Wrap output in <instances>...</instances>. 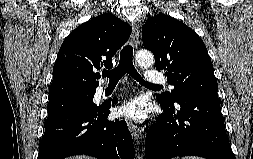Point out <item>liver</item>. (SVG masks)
I'll use <instances>...</instances> for the list:
<instances>
[{
    "mask_svg": "<svg viewBox=\"0 0 253 159\" xmlns=\"http://www.w3.org/2000/svg\"><path fill=\"white\" fill-rule=\"evenodd\" d=\"M66 159H95V158H92V157H89V156H73V157H69V158H66Z\"/></svg>",
    "mask_w": 253,
    "mask_h": 159,
    "instance_id": "liver-1",
    "label": "liver"
}]
</instances>
